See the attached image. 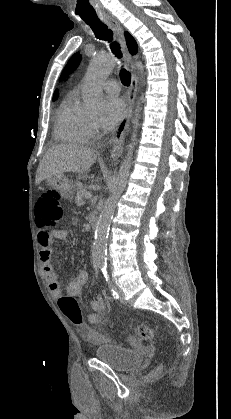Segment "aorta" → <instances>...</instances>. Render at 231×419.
I'll use <instances>...</instances> for the list:
<instances>
[{
  "instance_id": "aorta-1",
  "label": "aorta",
  "mask_w": 231,
  "mask_h": 419,
  "mask_svg": "<svg viewBox=\"0 0 231 419\" xmlns=\"http://www.w3.org/2000/svg\"><path fill=\"white\" fill-rule=\"evenodd\" d=\"M114 67L115 60L112 56L96 54L92 58L83 86V98L85 106L89 111L96 112L100 109L102 104L100 98V83L108 77ZM139 117L140 105L138 103L134 111V117L132 119L133 132L131 135L130 143L127 146V155L119 168L118 174L116 175L113 192L105 203L104 209L99 216L95 230L93 256L95 264L102 268L106 267L107 238L110 223L114 215L117 201L126 187L130 174L132 164L131 160L137 141Z\"/></svg>"
}]
</instances>
